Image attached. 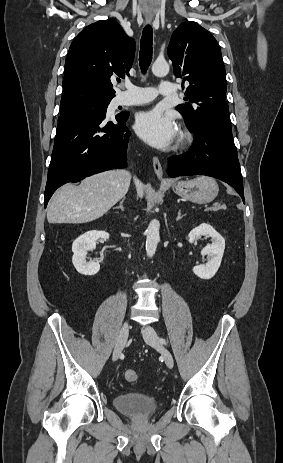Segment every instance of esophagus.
I'll return each mask as SVG.
<instances>
[{"mask_svg":"<svg viewBox=\"0 0 283 463\" xmlns=\"http://www.w3.org/2000/svg\"><path fill=\"white\" fill-rule=\"evenodd\" d=\"M146 22L150 23L153 19V16L149 15L145 17ZM153 169L157 177L163 181V182H168L169 180L163 177V169L161 166V163L157 157H153Z\"/></svg>","mask_w":283,"mask_h":463,"instance_id":"1","label":"esophagus"}]
</instances>
